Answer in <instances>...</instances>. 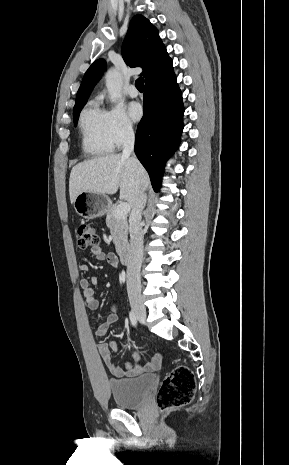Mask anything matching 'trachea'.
<instances>
[{
	"instance_id": "3493384b",
	"label": "trachea",
	"mask_w": 289,
	"mask_h": 465,
	"mask_svg": "<svg viewBox=\"0 0 289 465\" xmlns=\"http://www.w3.org/2000/svg\"><path fill=\"white\" fill-rule=\"evenodd\" d=\"M135 86L139 91L144 90V80L142 77L138 78L135 82Z\"/></svg>"
}]
</instances>
